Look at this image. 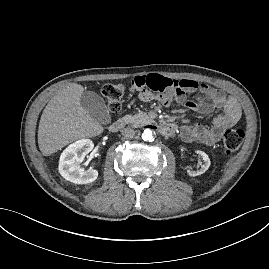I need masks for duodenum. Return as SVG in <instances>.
I'll use <instances>...</instances> for the list:
<instances>
[{"instance_id": "duodenum-1", "label": "duodenum", "mask_w": 269, "mask_h": 269, "mask_svg": "<svg viewBox=\"0 0 269 269\" xmlns=\"http://www.w3.org/2000/svg\"><path fill=\"white\" fill-rule=\"evenodd\" d=\"M124 125V120L123 119H118L114 121L110 126L109 130L113 133L118 132ZM158 130L164 134V135H170L175 131V127L173 124L166 123L158 127Z\"/></svg>"}]
</instances>
